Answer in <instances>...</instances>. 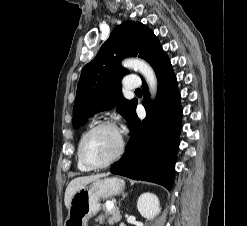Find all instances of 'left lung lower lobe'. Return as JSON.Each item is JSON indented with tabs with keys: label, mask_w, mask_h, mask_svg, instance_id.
<instances>
[{
	"label": "left lung lower lobe",
	"mask_w": 247,
	"mask_h": 226,
	"mask_svg": "<svg viewBox=\"0 0 247 226\" xmlns=\"http://www.w3.org/2000/svg\"><path fill=\"white\" fill-rule=\"evenodd\" d=\"M151 66L158 78L156 108L152 112L148 87L143 82L146 118L140 122L135 112L136 103L129 120L131 137L127 150L110 170L113 174L154 182L171 189L182 126L180 93L163 49L157 53Z\"/></svg>",
	"instance_id": "1"
}]
</instances>
